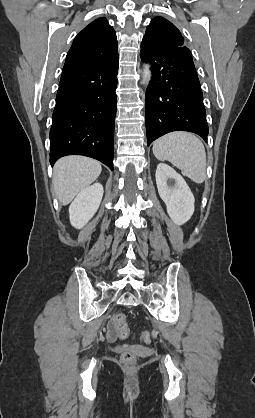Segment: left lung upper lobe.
<instances>
[{"label": "left lung upper lobe", "mask_w": 255, "mask_h": 418, "mask_svg": "<svg viewBox=\"0 0 255 418\" xmlns=\"http://www.w3.org/2000/svg\"><path fill=\"white\" fill-rule=\"evenodd\" d=\"M141 45L158 52L187 48L180 31L163 17L151 20Z\"/></svg>", "instance_id": "1"}]
</instances>
